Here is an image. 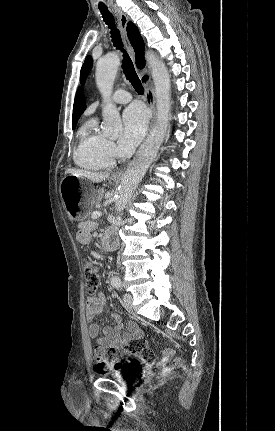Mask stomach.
Segmentation results:
<instances>
[{
    "instance_id": "obj_1",
    "label": "stomach",
    "mask_w": 275,
    "mask_h": 431,
    "mask_svg": "<svg viewBox=\"0 0 275 431\" xmlns=\"http://www.w3.org/2000/svg\"><path fill=\"white\" fill-rule=\"evenodd\" d=\"M59 190L68 216L75 221L87 218L95 199V190L86 187L82 177L71 174L62 179Z\"/></svg>"
}]
</instances>
